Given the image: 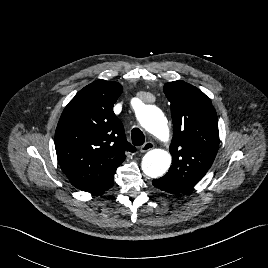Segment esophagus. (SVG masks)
<instances>
[{
  "label": "esophagus",
  "mask_w": 268,
  "mask_h": 268,
  "mask_svg": "<svg viewBox=\"0 0 268 268\" xmlns=\"http://www.w3.org/2000/svg\"><path fill=\"white\" fill-rule=\"evenodd\" d=\"M154 148V143L153 142H146L145 144H143L140 148V152L141 153H144V152H147L151 149Z\"/></svg>",
  "instance_id": "esophagus-1"
}]
</instances>
